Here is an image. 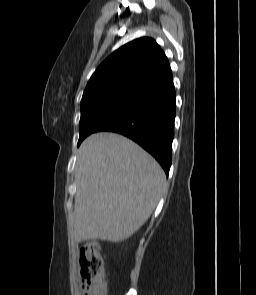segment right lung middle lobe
I'll use <instances>...</instances> for the list:
<instances>
[{"label": "right lung middle lobe", "mask_w": 256, "mask_h": 295, "mask_svg": "<svg viewBox=\"0 0 256 295\" xmlns=\"http://www.w3.org/2000/svg\"><path fill=\"white\" fill-rule=\"evenodd\" d=\"M136 95L135 93L117 95L89 106H81L78 145L85 137L97 132L104 123L122 111Z\"/></svg>", "instance_id": "right-lung-middle-lobe-1"}]
</instances>
